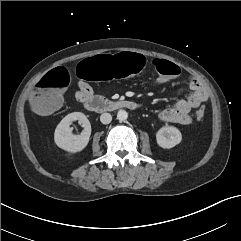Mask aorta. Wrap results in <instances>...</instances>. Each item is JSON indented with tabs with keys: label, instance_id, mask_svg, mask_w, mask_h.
I'll return each instance as SVG.
<instances>
[{
	"label": "aorta",
	"instance_id": "aorta-1",
	"mask_svg": "<svg viewBox=\"0 0 241 241\" xmlns=\"http://www.w3.org/2000/svg\"><path fill=\"white\" fill-rule=\"evenodd\" d=\"M128 118V113L125 110H119L117 113V119L119 121H125Z\"/></svg>",
	"mask_w": 241,
	"mask_h": 241
}]
</instances>
